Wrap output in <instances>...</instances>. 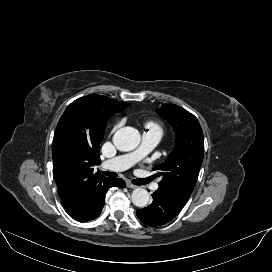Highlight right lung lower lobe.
<instances>
[{"instance_id":"1","label":"right lung lower lobe","mask_w":272,"mask_h":272,"mask_svg":"<svg viewBox=\"0 0 272 272\" xmlns=\"http://www.w3.org/2000/svg\"><path fill=\"white\" fill-rule=\"evenodd\" d=\"M125 186H126V184H125L124 180L119 179V178L118 179H111V178H109L107 186L102 191L101 198L98 201L96 207L85 218H83L82 220H80V222H86V221L95 219L99 215L100 211L102 210V208L104 206V198H105V194H106L108 188H110V187H122L123 188Z\"/></svg>"}]
</instances>
